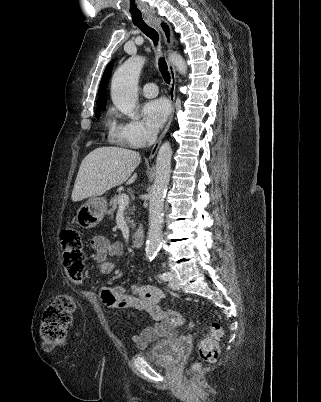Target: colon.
I'll list each match as a JSON object with an SVG mask.
<instances>
[{
  "mask_svg": "<svg viewBox=\"0 0 321 402\" xmlns=\"http://www.w3.org/2000/svg\"><path fill=\"white\" fill-rule=\"evenodd\" d=\"M63 251V265L65 273L75 288L80 286L84 270V244L81 234L69 227L61 233ZM76 309V300L73 296L62 294L57 296L44 310L40 326V337L47 350L63 345L67 339V329L71 324ZM176 323H182V318L175 314ZM224 337V331L219 323H214L210 329V336L204 338L198 345V355L202 362H215L219 355L218 341ZM195 364L193 369H198Z\"/></svg>",
  "mask_w": 321,
  "mask_h": 402,
  "instance_id": "colon-1",
  "label": "colon"
}]
</instances>
